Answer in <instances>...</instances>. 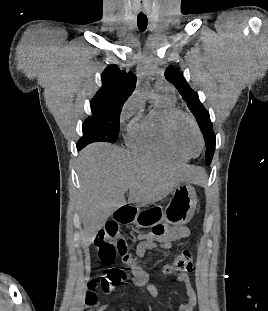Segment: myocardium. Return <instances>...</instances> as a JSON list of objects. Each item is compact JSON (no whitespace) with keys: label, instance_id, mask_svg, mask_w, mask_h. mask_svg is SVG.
<instances>
[{"label":"myocardium","instance_id":"f54148a6","mask_svg":"<svg viewBox=\"0 0 268 311\" xmlns=\"http://www.w3.org/2000/svg\"><path fill=\"white\" fill-rule=\"evenodd\" d=\"M180 117H184L186 119L189 120V122L192 124L194 130L196 131L199 140H200V149L199 152L196 155H191L189 153H187L177 142L176 137H175V124L176 121L180 118ZM165 134H166V138L169 142V144L171 145V147L178 152L179 154H181L182 156L186 157V158H194L196 156H198L203 148H204V138H203V134L200 130V127L198 125V123L196 122V120L194 119V117L189 114L186 111L180 110V109H174L171 110L165 119Z\"/></svg>","mask_w":268,"mask_h":311}]
</instances>
